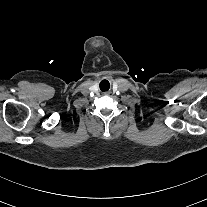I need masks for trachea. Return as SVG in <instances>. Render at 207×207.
<instances>
[{"label": "trachea", "mask_w": 207, "mask_h": 207, "mask_svg": "<svg viewBox=\"0 0 207 207\" xmlns=\"http://www.w3.org/2000/svg\"><path fill=\"white\" fill-rule=\"evenodd\" d=\"M110 88V83L107 80H103L100 82V89L102 91H107Z\"/></svg>", "instance_id": "3493384b"}]
</instances>
